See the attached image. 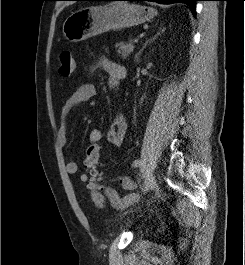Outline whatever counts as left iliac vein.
I'll list each match as a JSON object with an SVG mask.
<instances>
[{
    "mask_svg": "<svg viewBox=\"0 0 245 265\" xmlns=\"http://www.w3.org/2000/svg\"><path fill=\"white\" fill-rule=\"evenodd\" d=\"M157 186L156 178L153 174L149 175L144 184V192L155 189Z\"/></svg>",
    "mask_w": 245,
    "mask_h": 265,
    "instance_id": "1",
    "label": "left iliac vein"
}]
</instances>
